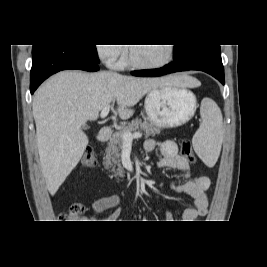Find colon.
Wrapping results in <instances>:
<instances>
[{"label":"colon","mask_w":267,"mask_h":267,"mask_svg":"<svg viewBox=\"0 0 267 267\" xmlns=\"http://www.w3.org/2000/svg\"><path fill=\"white\" fill-rule=\"evenodd\" d=\"M181 155L188 159L190 162H195V156L192 150L191 143L188 140H184L181 143V148H180ZM97 162V157L95 152L87 148L82 156V163L85 166L92 167L96 165ZM85 212V207L81 203H74L70 206L69 210L67 213L63 215V220L67 221H62V222H72V223H79L82 222L83 215Z\"/></svg>","instance_id":"1"}]
</instances>
